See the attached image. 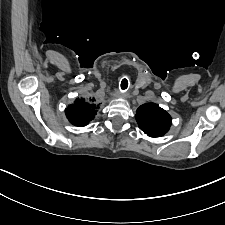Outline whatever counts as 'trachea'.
Here are the masks:
<instances>
[{"label": "trachea", "instance_id": "1", "mask_svg": "<svg viewBox=\"0 0 225 225\" xmlns=\"http://www.w3.org/2000/svg\"><path fill=\"white\" fill-rule=\"evenodd\" d=\"M128 87V80L126 78H124L122 81H121V89L122 90H125L127 89Z\"/></svg>", "mask_w": 225, "mask_h": 225}]
</instances>
